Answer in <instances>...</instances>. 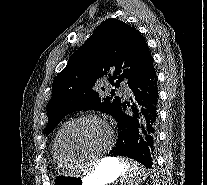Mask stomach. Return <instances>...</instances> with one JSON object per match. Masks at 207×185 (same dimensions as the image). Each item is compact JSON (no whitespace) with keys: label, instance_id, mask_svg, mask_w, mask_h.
Returning a JSON list of instances; mask_svg holds the SVG:
<instances>
[{"label":"stomach","instance_id":"stomach-1","mask_svg":"<svg viewBox=\"0 0 207 185\" xmlns=\"http://www.w3.org/2000/svg\"><path fill=\"white\" fill-rule=\"evenodd\" d=\"M125 165L118 158H104L96 169L84 177L58 175L52 185H107L122 177Z\"/></svg>","mask_w":207,"mask_h":185}]
</instances>
